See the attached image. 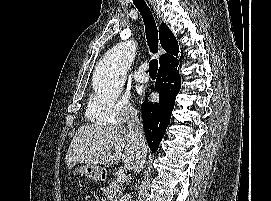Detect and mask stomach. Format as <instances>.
Segmentation results:
<instances>
[{
	"label": "stomach",
	"instance_id": "obj_1",
	"mask_svg": "<svg viewBox=\"0 0 271 201\" xmlns=\"http://www.w3.org/2000/svg\"><path fill=\"white\" fill-rule=\"evenodd\" d=\"M73 173L85 176L92 181H99L105 177V169L92 164L75 167Z\"/></svg>",
	"mask_w": 271,
	"mask_h": 201
}]
</instances>
